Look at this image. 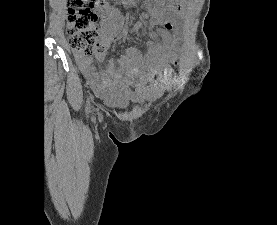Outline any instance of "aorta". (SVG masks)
<instances>
[{
	"instance_id": "1",
	"label": "aorta",
	"mask_w": 277,
	"mask_h": 225,
	"mask_svg": "<svg viewBox=\"0 0 277 225\" xmlns=\"http://www.w3.org/2000/svg\"><path fill=\"white\" fill-rule=\"evenodd\" d=\"M127 2H128L129 4H132V3H133V0H127Z\"/></svg>"
}]
</instances>
